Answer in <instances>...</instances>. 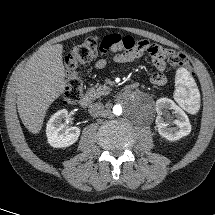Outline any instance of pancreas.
<instances>
[{"mask_svg": "<svg viewBox=\"0 0 215 215\" xmlns=\"http://www.w3.org/2000/svg\"><path fill=\"white\" fill-rule=\"evenodd\" d=\"M88 95L93 98H99L101 96L109 94V87L101 85H92L87 91Z\"/></svg>", "mask_w": 215, "mask_h": 215, "instance_id": "obj_1", "label": "pancreas"}]
</instances>
